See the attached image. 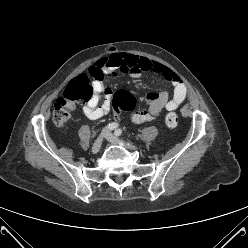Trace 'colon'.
<instances>
[{
	"label": "colon",
	"instance_id": "1",
	"mask_svg": "<svg viewBox=\"0 0 248 248\" xmlns=\"http://www.w3.org/2000/svg\"><path fill=\"white\" fill-rule=\"evenodd\" d=\"M94 78H100L102 72L97 69L89 70ZM94 88L87 74H80L73 78L67 85L62 97L54 104L53 121L58 126L65 125L70 119L77 103L89 102L94 96ZM114 111L118 114L121 110L130 111L133 108V99L127 93H119L113 102ZM166 125L173 128L177 125L178 117L175 113H169L165 119Z\"/></svg>",
	"mask_w": 248,
	"mask_h": 248
}]
</instances>
